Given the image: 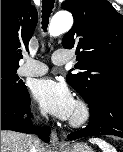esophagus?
<instances>
[{"label": "esophagus", "mask_w": 123, "mask_h": 152, "mask_svg": "<svg viewBox=\"0 0 123 152\" xmlns=\"http://www.w3.org/2000/svg\"><path fill=\"white\" fill-rule=\"evenodd\" d=\"M50 143L53 147H60L62 145V142L60 141L58 134L54 130L51 132Z\"/></svg>", "instance_id": "1"}]
</instances>
